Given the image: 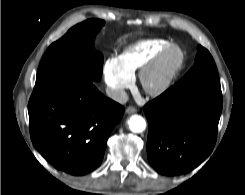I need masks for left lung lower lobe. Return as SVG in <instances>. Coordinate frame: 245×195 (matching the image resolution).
<instances>
[{"label":"left lung lower lobe","instance_id":"left-lung-lower-lobe-1","mask_svg":"<svg viewBox=\"0 0 245 195\" xmlns=\"http://www.w3.org/2000/svg\"><path fill=\"white\" fill-rule=\"evenodd\" d=\"M147 155L160 174L187 173L212 152L222 112V94L172 86L144 106Z\"/></svg>","mask_w":245,"mask_h":195}]
</instances>
